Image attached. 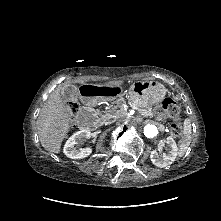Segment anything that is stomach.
I'll return each instance as SVG.
<instances>
[{
  "mask_svg": "<svg viewBox=\"0 0 221 221\" xmlns=\"http://www.w3.org/2000/svg\"><path fill=\"white\" fill-rule=\"evenodd\" d=\"M165 94V87L156 81H135L129 88L130 101L140 107L162 101Z\"/></svg>",
  "mask_w": 221,
  "mask_h": 221,
  "instance_id": "0dacf381",
  "label": "stomach"
}]
</instances>
